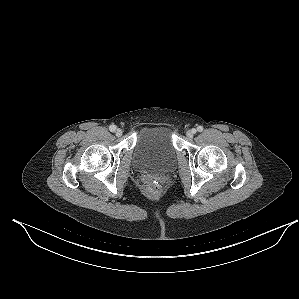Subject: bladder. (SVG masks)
Wrapping results in <instances>:
<instances>
[{"label": "bladder", "mask_w": 299, "mask_h": 299, "mask_svg": "<svg viewBox=\"0 0 299 299\" xmlns=\"http://www.w3.org/2000/svg\"><path fill=\"white\" fill-rule=\"evenodd\" d=\"M177 150L168 126H147L138 130L133 148V163L141 172L170 171L176 163Z\"/></svg>", "instance_id": "1"}]
</instances>
